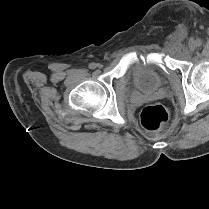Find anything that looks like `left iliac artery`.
<instances>
[{"label":"left iliac artery","instance_id":"1","mask_svg":"<svg viewBox=\"0 0 209 209\" xmlns=\"http://www.w3.org/2000/svg\"><path fill=\"white\" fill-rule=\"evenodd\" d=\"M201 44H202L201 40H199V39H198V40H196V46H198V47H199V46H201Z\"/></svg>","mask_w":209,"mask_h":209}]
</instances>
